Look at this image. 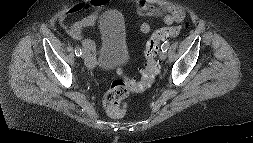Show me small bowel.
I'll list each match as a JSON object with an SVG mask.
<instances>
[{"label": "small bowel", "mask_w": 253, "mask_h": 143, "mask_svg": "<svg viewBox=\"0 0 253 143\" xmlns=\"http://www.w3.org/2000/svg\"><path fill=\"white\" fill-rule=\"evenodd\" d=\"M109 2L110 0H87L86 2L77 3L60 16V24L70 37L74 40L81 41L82 45L92 52L94 44L90 39L83 36V31L95 24L98 14L109 4ZM85 11H90L91 13L75 21L71 25L65 24L68 17ZM136 11L140 15L160 17L166 25L182 22L185 18V12L179 6L153 5L144 0L138 1ZM151 27L152 25L150 23H143L140 26L141 35H147L150 32Z\"/></svg>", "instance_id": "1"}]
</instances>
